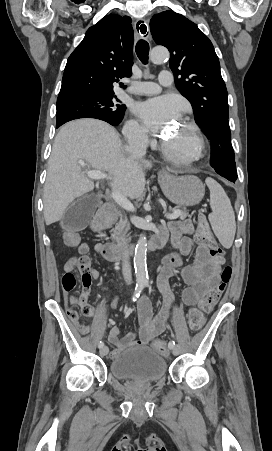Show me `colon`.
Masks as SVG:
<instances>
[{
	"label": "colon",
	"mask_w": 272,
	"mask_h": 451,
	"mask_svg": "<svg viewBox=\"0 0 272 451\" xmlns=\"http://www.w3.org/2000/svg\"><path fill=\"white\" fill-rule=\"evenodd\" d=\"M64 242L68 244L70 249L75 247V244L80 242V237L76 235L74 230H65L63 232ZM197 240L203 245H206L209 249L208 256L209 258H226L227 250L226 249H216L217 243L210 232L209 224L206 218L202 215L201 219L198 223V232H197ZM90 266V259L87 255L80 254L77 256H71L67 263V270L65 274H60L59 281L61 283V289H78V280H76L75 274H72V271L75 268L80 270H88ZM232 275V268L230 266L224 267L221 272V282L220 284L210 289L205 293L200 308H191L188 312V320L191 329L198 330L203 325L204 315L203 312H209L213 309V307L218 303L221 296L225 292V289L228 285V282ZM74 299V298H73ZM81 313L84 315H88L91 312V306L88 303H85L81 306ZM69 317L72 320H75L78 316V312L76 310L69 311ZM81 332H88V326L82 325L80 327ZM153 351H159L160 354L167 356L171 351V342H153Z\"/></svg>",
	"instance_id": "obj_1"
}]
</instances>
